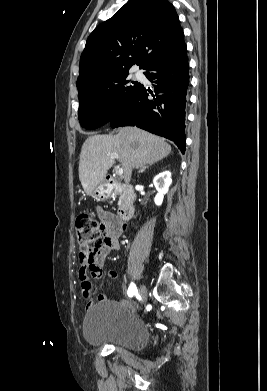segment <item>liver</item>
Masks as SVG:
<instances>
[{
	"label": "liver",
	"mask_w": 267,
	"mask_h": 391,
	"mask_svg": "<svg viewBox=\"0 0 267 391\" xmlns=\"http://www.w3.org/2000/svg\"><path fill=\"white\" fill-rule=\"evenodd\" d=\"M113 153L119 155L123 178L129 182L134 168L162 160L171 153V146L163 138L137 127H122L116 135L88 137L79 160V179L88 195L106 178L114 164V158L109 156Z\"/></svg>",
	"instance_id": "6515ba94"
}]
</instances>
